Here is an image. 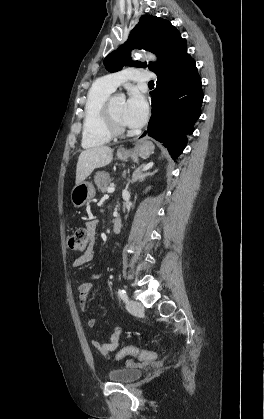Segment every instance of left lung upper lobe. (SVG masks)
Masks as SVG:
<instances>
[{"mask_svg": "<svg viewBox=\"0 0 264 419\" xmlns=\"http://www.w3.org/2000/svg\"><path fill=\"white\" fill-rule=\"evenodd\" d=\"M181 36L179 31L167 20L155 16H143L131 31L127 42L104 59L105 68L109 72H117L124 65L146 67V63L130 61L132 48L144 49L156 53L160 63H149V69L154 73L159 69L162 53Z\"/></svg>", "mask_w": 264, "mask_h": 419, "instance_id": "1", "label": "left lung upper lobe"}]
</instances>
